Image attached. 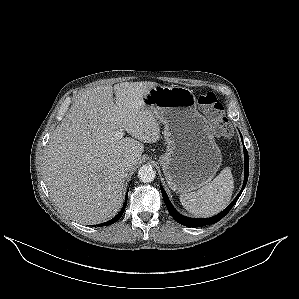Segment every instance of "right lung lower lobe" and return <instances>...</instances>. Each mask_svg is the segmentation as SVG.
Masks as SVG:
<instances>
[{
    "instance_id": "right-lung-lower-lobe-1",
    "label": "right lung lower lobe",
    "mask_w": 299,
    "mask_h": 299,
    "mask_svg": "<svg viewBox=\"0 0 299 299\" xmlns=\"http://www.w3.org/2000/svg\"><path fill=\"white\" fill-rule=\"evenodd\" d=\"M127 195H128V191H127V194H126L125 203H124V206H123L122 210L113 219H111L107 222H104L102 224L96 225V226H106V225H111V224L117 222L121 218V216L123 215V213L125 211V208H126V205H127Z\"/></svg>"
}]
</instances>
